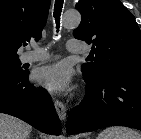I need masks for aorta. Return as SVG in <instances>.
<instances>
[{
    "mask_svg": "<svg viewBox=\"0 0 141 139\" xmlns=\"http://www.w3.org/2000/svg\"><path fill=\"white\" fill-rule=\"evenodd\" d=\"M81 15L77 11H67L63 15L62 24L66 28L76 27L80 24Z\"/></svg>",
    "mask_w": 141,
    "mask_h": 139,
    "instance_id": "762f6f07",
    "label": "aorta"
}]
</instances>
